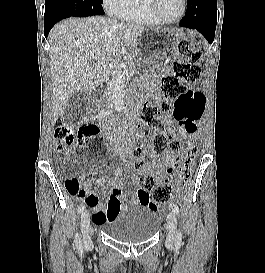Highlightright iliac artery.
Here are the masks:
<instances>
[{"label":"right iliac artery","mask_w":265,"mask_h":273,"mask_svg":"<svg viewBox=\"0 0 265 273\" xmlns=\"http://www.w3.org/2000/svg\"><path fill=\"white\" fill-rule=\"evenodd\" d=\"M85 208H86L85 204L81 203L77 209L78 213H82L85 210ZM75 244L79 249L82 247V240L78 234L75 235Z\"/></svg>","instance_id":"82829eb1"}]
</instances>
